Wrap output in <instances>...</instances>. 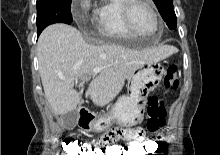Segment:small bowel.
Here are the masks:
<instances>
[{
  "mask_svg": "<svg viewBox=\"0 0 220 155\" xmlns=\"http://www.w3.org/2000/svg\"><path fill=\"white\" fill-rule=\"evenodd\" d=\"M139 139H147L142 126H111V130H105V133H102L94 143L95 145L117 144V141H138Z\"/></svg>",
  "mask_w": 220,
  "mask_h": 155,
  "instance_id": "1",
  "label": "small bowel"
}]
</instances>
